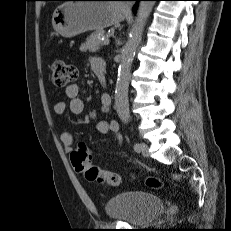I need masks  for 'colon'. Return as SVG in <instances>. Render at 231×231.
<instances>
[{
  "label": "colon",
  "instance_id": "obj_1",
  "mask_svg": "<svg viewBox=\"0 0 231 231\" xmlns=\"http://www.w3.org/2000/svg\"><path fill=\"white\" fill-rule=\"evenodd\" d=\"M78 72L75 66L61 60L53 61L51 64V78L53 84L59 88L68 87L77 79ZM92 155L84 144H80L71 154V161L75 169L84 174L88 181L99 182L110 186H118L121 176L100 168L91 162ZM147 184L156 188L159 185L157 179L150 177Z\"/></svg>",
  "mask_w": 231,
  "mask_h": 231
}]
</instances>
